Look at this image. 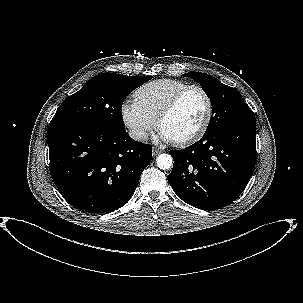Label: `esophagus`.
I'll return each instance as SVG.
<instances>
[{
	"label": "esophagus",
	"instance_id": "obj_1",
	"mask_svg": "<svg viewBox=\"0 0 303 303\" xmlns=\"http://www.w3.org/2000/svg\"><path fill=\"white\" fill-rule=\"evenodd\" d=\"M162 152L161 149L154 147L153 148V156H157L158 154H160Z\"/></svg>",
	"mask_w": 303,
	"mask_h": 303
}]
</instances>
